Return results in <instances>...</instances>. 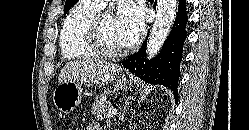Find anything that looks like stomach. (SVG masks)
I'll list each match as a JSON object with an SVG mask.
<instances>
[{
    "label": "stomach",
    "instance_id": "1",
    "mask_svg": "<svg viewBox=\"0 0 249 130\" xmlns=\"http://www.w3.org/2000/svg\"><path fill=\"white\" fill-rule=\"evenodd\" d=\"M133 78L119 75L114 79V85L118 89H126ZM82 99V87L79 82H64L59 84L53 92L55 107L64 114H70L79 105Z\"/></svg>",
    "mask_w": 249,
    "mask_h": 130
}]
</instances>
